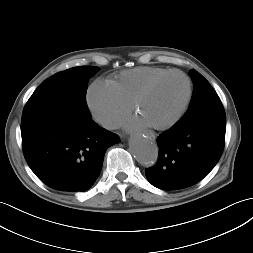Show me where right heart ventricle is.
Segmentation results:
<instances>
[{
	"label": "right heart ventricle",
	"instance_id": "e07e8e85",
	"mask_svg": "<svg viewBox=\"0 0 253 253\" xmlns=\"http://www.w3.org/2000/svg\"><path fill=\"white\" fill-rule=\"evenodd\" d=\"M168 70L152 66L136 67L120 72L109 83L114 87L123 101L131 106L133 99L144 86Z\"/></svg>",
	"mask_w": 253,
	"mask_h": 253
}]
</instances>
